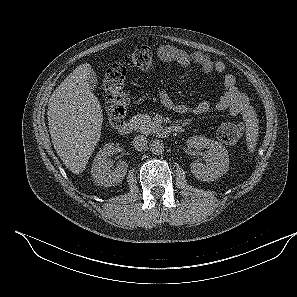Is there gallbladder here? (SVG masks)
<instances>
[{
  "label": "gallbladder",
  "mask_w": 297,
  "mask_h": 297,
  "mask_svg": "<svg viewBox=\"0 0 297 297\" xmlns=\"http://www.w3.org/2000/svg\"><path fill=\"white\" fill-rule=\"evenodd\" d=\"M86 80L90 90H94L97 87V83H98L97 75L93 69H90Z\"/></svg>",
  "instance_id": "gallbladder-1"
}]
</instances>
